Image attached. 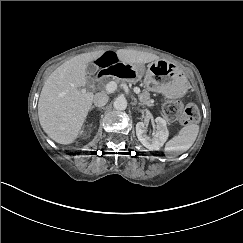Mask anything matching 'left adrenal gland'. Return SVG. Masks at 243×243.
<instances>
[{"label": "left adrenal gland", "instance_id": "1", "mask_svg": "<svg viewBox=\"0 0 243 243\" xmlns=\"http://www.w3.org/2000/svg\"><path fill=\"white\" fill-rule=\"evenodd\" d=\"M134 103L138 104L139 106L145 107V105L142 102H138L137 99H134Z\"/></svg>", "mask_w": 243, "mask_h": 243}]
</instances>
